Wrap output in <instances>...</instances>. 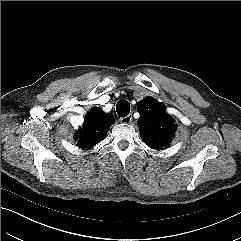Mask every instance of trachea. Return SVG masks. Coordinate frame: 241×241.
Wrapping results in <instances>:
<instances>
[{
  "label": "trachea",
  "instance_id": "obj_1",
  "mask_svg": "<svg viewBox=\"0 0 241 241\" xmlns=\"http://www.w3.org/2000/svg\"><path fill=\"white\" fill-rule=\"evenodd\" d=\"M117 114L120 117H125L130 113V104L127 100H119L116 105Z\"/></svg>",
  "mask_w": 241,
  "mask_h": 241
}]
</instances>
